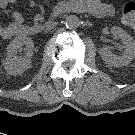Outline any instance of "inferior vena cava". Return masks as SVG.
Listing matches in <instances>:
<instances>
[{"instance_id":"obj_1","label":"inferior vena cava","mask_w":135,"mask_h":135,"mask_svg":"<svg viewBox=\"0 0 135 135\" xmlns=\"http://www.w3.org/2000/svg\"><path fill=\"white\" fill-rule=\"evenodd\" d=\"M55 23L50 24L47 28L46 31H50L51 29H53L55 27Z\"/></svg>"}]
</instances>
